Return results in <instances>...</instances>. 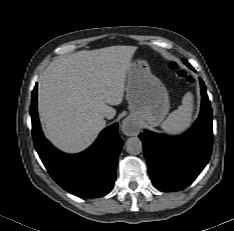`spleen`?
<instances>
[{
	"label": "spleen",
	"mask_w": 234,
	"mask_h": 231,
	"mask_svg": "<svg viewBox=\"0 0 234 231\" xmlns=\"http://www.w3.org/2000/svg\"><path fill=\"white\" fill-rule=\"evenodd\" d=\"M193 110L194 97L191 92H187L182 99V105L161 124L162 130L170 135L184 132L191 126Z\"/></svg>",
	"instance_id": "obj_1"
}]
</instances>
